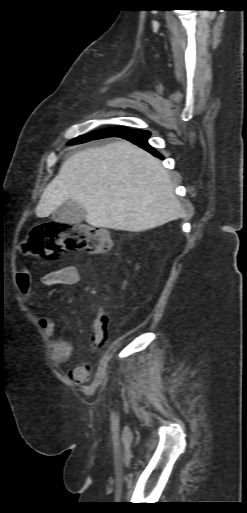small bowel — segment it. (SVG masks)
<instances>
[{
    "label": "small bowel",
    "mask_w": 247,
    "mask_h": 513,
    "mask_svg": "<svg viewBox=\"0 0 247 513\" xmlns=\"http://www.w3.org/2000/svg\"><path fill=\"white\" fill-rule=\"evenodd\" d=\"M80 281V273L76 266H67L48 273L41 284L46 287L59 284H76ZM17 284L20 292L27 299L31 294V273L23 269L17 274ZM37 322L49 340L52 357L55 363L67 362L72 355V344L57 335L55 322L43 314L37 315ZM90 375L87 365L82 362L69 372V377L76 383H83Z\"/></svg>",
    "instance_id": "obj_1"
}]
</instances>
